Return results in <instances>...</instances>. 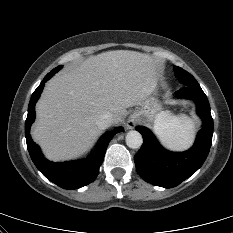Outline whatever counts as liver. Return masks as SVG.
<instances>
[{
	"mask_svg": "<svg viewBox=\"0 0 233 233\" xmlns=\"http://www.w3.org/2000/svg\"><path fill=\"white\" fill-rule=\"evenodd\" d=\"M158 63L147 54L116 50L91 56L55 77L36 105L33 139L53 161L87 151L101 130L96 121L110 112L120 122L126 109L156 91Z\"/></svg>",
	"mask_w": 233,
	"mask_h": 233,
	"instance_id": "6515ba94",
	"label": "liver"
}]
</instances>
